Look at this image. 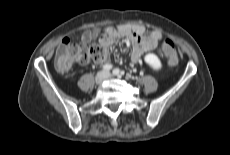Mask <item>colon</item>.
I'll list each match as a JSON object with an SVG mask.
<instances>
[{
  "label": "colon",
  "mask_w": 230,
  "mask_h": 155,
  "mask_svg": "<svg viewBox=\"0 0 230 155\" xmlns=\"http://www.w3.org/2000/svg\"><path fill=\"white\" fill-rule=\"evenodd\" d=\"M164 47L168 55V67L175 69L178 66V55L175 45L171 40L164 42ZM105 54V48L101 43H69L62 42L55 55V66L64 74L70 70L72 63H86L90 60H100Z\"/></svg>",
  "instance_id": "colon-1"
}]
</instances>
